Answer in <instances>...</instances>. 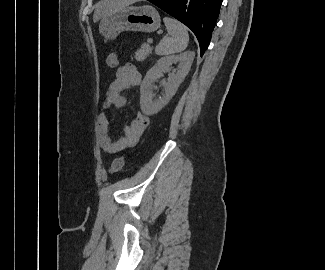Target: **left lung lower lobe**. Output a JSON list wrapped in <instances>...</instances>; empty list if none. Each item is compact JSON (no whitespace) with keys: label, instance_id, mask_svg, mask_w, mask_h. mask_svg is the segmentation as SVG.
Instances as JSON below:
<instances>
[{"label":"left lung lower lobe","instance_id":"obj_1","mask_svg":"<svg viewBox=\"0 0 325 270\" xmlns=\"http://www.w3.org/2000/svg\"><path fill=\"white\" fill-rule=\"evenodd\" d=\"M189 27L196 35L201 56L209 46L222 0H148Z\"/></svg>","mask_w":325,"mask_h":270}]
</instances>
